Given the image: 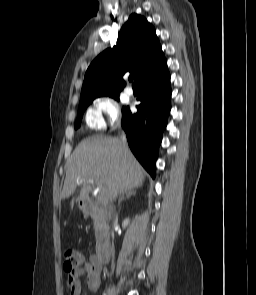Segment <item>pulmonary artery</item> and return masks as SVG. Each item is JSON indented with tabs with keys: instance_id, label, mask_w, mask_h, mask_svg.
<instances>
[{
	"instance_id": "pulmonary-artery-1",
	"label": "pulmonary artery",
	"mask_w": 256,
	"mask_h": 295,
	"mask_svg": "<svg viewBox=\"0 0 256 295\" xmlns=\"http://www.w3.org/2000/svg\"><path fill=\"white\" fill-rule=\"evenodd\" d=\"M125 92L127 95H132L133 94V89L130 86H127L125 88Z\"/></svg>"
}]
</instances>
